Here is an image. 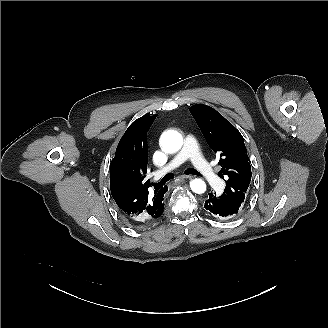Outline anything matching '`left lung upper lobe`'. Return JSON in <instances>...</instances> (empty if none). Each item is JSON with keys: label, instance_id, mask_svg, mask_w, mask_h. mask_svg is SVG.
<instances>
[{"label": "left lung upper lobe", "instance_id": "obj_1", "mask_svg": "<svg viewBox=\"0 0 328 328\" xmlns=\"http://www.w3.org/2000/svg\"><path fill=\"white\" fill-rule=\"evenodd\" d=\"M190 112L206 141L220 156L221 177L225 175L226 188L219 198L239 209L251 181V166L241 133L210 106L196 104ZM223 173V175H222Z\"/></svg>", "mask_w": 328, "mask_h": 328}]
</instances>
